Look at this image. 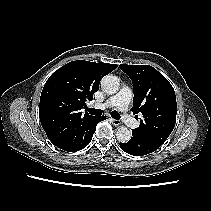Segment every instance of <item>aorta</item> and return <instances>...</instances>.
Masks as SVG:
<instances>
[{
    "label": "aorta",
    "mask_w": 211,
    "mask_h": 211,
    "mask_svg": "<svg viewBox=\"0 0 211 211\" xmlns=\"http://www.w3.org/2000/svg\"><path fill=\"white\" fill-rule=\"evenodd\" d=\"M120 87V80L117 76L106 75L101 80V88L107 94H115ZM116 137L119 142L127 143L131 137L132 132L126 127H119L116 131Z\"/></svg>",
    "instance_id": "1"
}]
</instances>
